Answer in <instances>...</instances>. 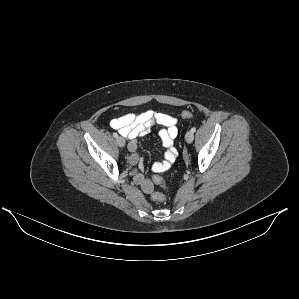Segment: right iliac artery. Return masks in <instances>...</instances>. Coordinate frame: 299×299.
<instances>
[{
  "mask_svg": "<svg viewBox=\"0 0 299 299\" xmlns=\"http://www.w3.org/2000/svg\"><path fill=\"white\" fill-rule=\"evenodd\" d=\"M113 137L117 138L118 134L117 133H113Z\"/></svg>",
  "mask_w": 299,
  "mask_h": 299,
  "instance_id": "obj_1",
  "label": "right iliac artery"
}]
</instances>
